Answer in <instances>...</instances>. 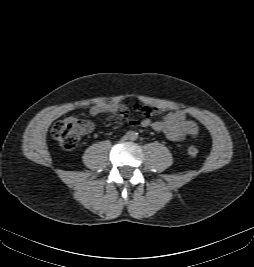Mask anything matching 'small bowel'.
Wrapping results in <instances>:
<instances>
[{
  "instance_id": "1",
  "label": "small bowel",
  "mask_w": 254,
  "mask_h": 267,
  "mask_svg": "<svg viewBox=\"0 0 254 267\" xmlns=\"http://www.w3.org/2000/svg\"><path fill=\"white\" fill-rule=\"evenodd\" d=\"M134 110L144 113L141 121L130 118L129 109L126 105L117 102L97 103L90 108V114L97 116L100 114H118L132 126L140 125L145 128H152L156 132L163 133L170 141L179 142L187 136H195L198 133V126L187 118L184 111L178 110L168 112L160 120H153L152 117L161 114L163 111L159 107H149L134 105Z\"/></svg>"
}]
</instances>
